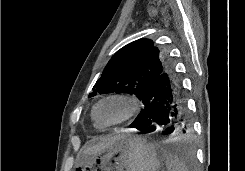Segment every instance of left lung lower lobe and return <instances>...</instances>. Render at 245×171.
<instances>
[{"label":"left lung lower lobe","mask_w":245,"mask_h":171,"mask_svg":"<svg viewBox=\"0 0 245 171\" xmlns=\"http://www.w3.org/2000/svg\"><path fill=\"white\" fill-rule=\"evenodd\" d=\"M141 100L144 109L130 127L141 134L153 132L156 125L166 127L167 134L186 132V100L181 82L170 65L146 87Z\"/></svg>","instance_id":"0a47b994"}]
</instances>
